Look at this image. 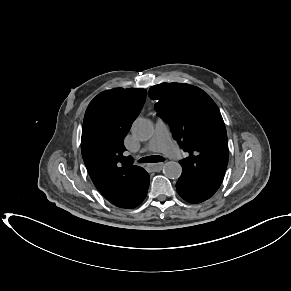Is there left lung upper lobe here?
<instances>
[{
	"instance_id": "obj_1",
	"label": "left lung upper lobe",
	"mask_w": 291,
	"mask_h": 291,
	"mask_svg": "<svg viewBox=\"0 0 291 291\" xmlns=\"http://www.w3.org/2000/svg\"><path fill=\"white\" fill-rule=\"evenodd\" d=\"M175 140L188 152L182 173L219 188L228 164L227 133L221 113L202 89L181 83H161L148 92Z\"/></svg>"
}]
</instances>
